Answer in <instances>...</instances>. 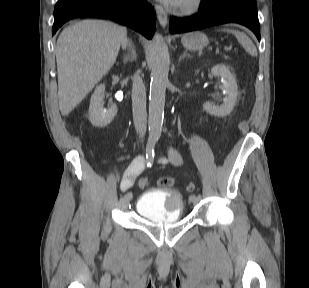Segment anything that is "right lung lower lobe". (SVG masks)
Masks as SVG:
<instances>
[{
	"label": "right lung lower lobe",
	"mask_w": 309,
	"mask_h": 288,
	"mask_svg": "<svg viewBox=\"0 0 309 288\" xmlns=\"http://www.w3.org/2000/svg\"><path fill=\"white\" fill-rule=\"evenodd\" d=\"M83 16L115 20L148 39L155 31V13L146 0H70L55 8L52 34L66 21Z\"/></svg>",
	"instance_id": "obj_1"
}]
</instances>
